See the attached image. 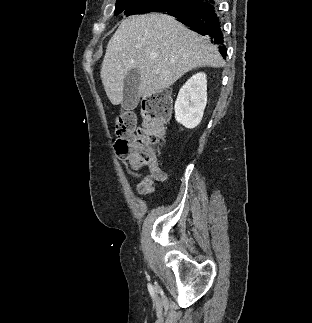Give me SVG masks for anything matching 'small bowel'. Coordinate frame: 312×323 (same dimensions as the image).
I'll use <instances>...</instances> for the list:
<instances>
[{
	"instance_id": "c3829d8e",
	"label": "small bowel",
	"mask_w": 312,
	"mask_h": 323,
	"mask_svg": "<svg viewBox=\"0 0 312 323\" xmlns=\"http://www.w3.org/2000/svg\"><path fill=\"white\" fill-rule=\"evenodd\" d=\"M150 174L143 178L137 185V193L142 196H147L155 191V185L158 182H164L167 180L168 176L159 167L158 161L155 158L149 164Z\"/></svg>"
}]
</instances>
